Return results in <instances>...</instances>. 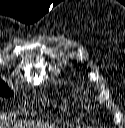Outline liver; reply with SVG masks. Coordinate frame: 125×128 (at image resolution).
I'll return each instance as SVG.
<instances>
[{"instance_id": "6515ba94", "label": "liver", "mask_w": 125, "mask_h": 128, "mask_svg": "<svg viewBox=\"0 0 125 128\" xmlns=\"http://www.w3.org/2000/svg\"><path fill=\"white\" fill-rule=\"evenodd\" d=\"M46 126H47V128H55V126H52V125H46ZM0 127H2V126L0 125Z\"/></svg>"}]
</instances>
